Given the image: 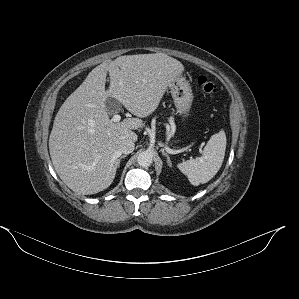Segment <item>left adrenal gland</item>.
Wrapping results in <instances>:
<instances>
[{"instance_id":"a2214340","label":"left adrenal gland","mask_w":299,"mask_h":299,"mask_svg":"<svg viewBox=\"0 0 299 299\" xmlns=\"http://www.w3.org/2000/svg\"><path fill=\"white\" fill-rule=\"evenodd\" d=\"M163 155H165V157L167 158V163H168L169 167H172V163H171L169 154L163 150Z\"/></svg>"}]
</instances>
